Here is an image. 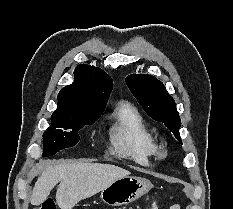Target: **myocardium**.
<instances>
[{"label": "myocardium", "instance_id": "f54148a6", "mask_svg": "<svg viewBox=\"0 0 233 209\" xmlns=\"http://www.w3.org/2000/svg\"><path fill=\"white\" fill-rule=\"evenodd\" d=\"M156 152L157 155L164 157L167 155V146L164 142H161L156 145Z\"/></svg>", "mask_w": 233, "mask_h": 209}]
</instances>
